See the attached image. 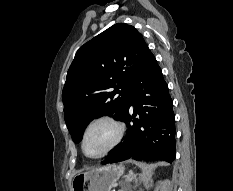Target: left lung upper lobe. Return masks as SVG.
Returning a JSON list of instances; mask_svg holds the SVG:
<instances>
[{
  "instance_id": "obj_1",
  "label": "left lung upper lobe",
  "mask_w": 233,
  "mask_h": 191,
  "mask_svg": "<svg viewBox=\"0 0 233 191\" xmlns=\"http://www.w3.org/2000/svg\"><path fill=\"white\" fill-rule=\"evenodd\" d=\"M150 53L142 35L125 23L79 48L62 92L65 122L75 143L92 119H122L132 80Z\"/></svg>"
}]
</instances>
